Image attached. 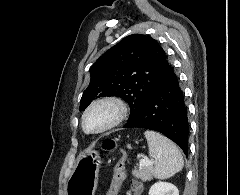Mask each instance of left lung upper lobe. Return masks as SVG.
<instances>
[{"label": "left lung upper lobe", "instance_id": "1", "mask_svg": "<svg viewBox=\"0 0 240 195\" xmlns=\"http://www.w3.org/2000/svg\"><path fill=\"white\" fill-rule=\"evenodd\" d=\"M169 66L156 40L141 34L129 35L91 67V80L80 100V110L98 97L118 96L130 105V121L165 78Z\"/></svg>", "mask_w": 240, "mask_h": 195}]
</instances>
